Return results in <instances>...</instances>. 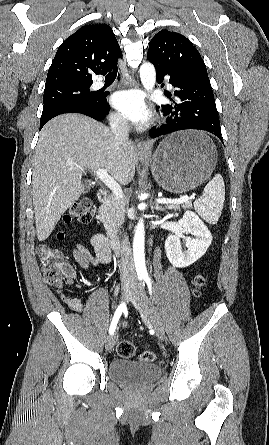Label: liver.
<instances>
[{"instance_id": "1", "label": "liver", "mask_w": 269, "mask_h": 445, "mask_svg": "<svg viewBox=\"0 0 269 445\" xmlns=\"http://www.w3.org/2000/svg\"><path fill=\"white\" fill-rule=\"evenodd\" d=\"M136 154L131 142H118L109 128L81 114H64L40 132L35 150L32 196L36 233L46 240L65 211L84 192L82 176L105 169L120 184L135 175Z\"/></svg>"}]
</instances>
